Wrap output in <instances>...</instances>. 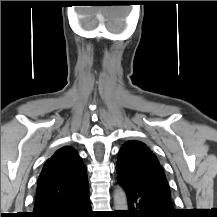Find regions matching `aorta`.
Here are the masks:
<instances>
[{"instance_id": "obj_1", "label": "aorta", "mask_w": 217, "mask_h": 217, "mask_svg": "<svg viewBox=\"0 0 217 217\" xmlns=\"http://www.w3.org/2000/svg\"><path fill=\"white\" fill-rule=\"evenodd\" d=\"M114 208L115 210H128L126 194L119 186L114 191Z\"/></svg>"}]
</instances>
